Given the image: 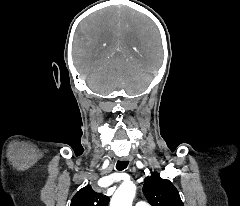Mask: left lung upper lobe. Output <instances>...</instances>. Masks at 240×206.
<instances>
[{"label":"left lung upper lobe","mask_w":240,"mask_h":206,"mask_svg":"<svg viewBox=\"0 0 240 206\" xmlns=\"http://www.w3.org/2000/svg\"><path fill=\"white\" fill-rule=\"evenodd\" d=\"M143 192L152 206H184L174 185L159 174L145 179Z\"/></svg>","instance_id":"5c2ea615"}]
</instances>
